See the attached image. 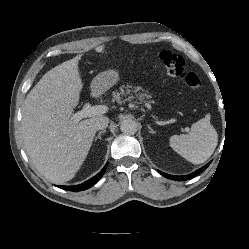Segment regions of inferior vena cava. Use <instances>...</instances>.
Here are the masks:
<instances>
[{"instance_id":"602c4592","label":"inferior vena cava","mask_w":249,"mask_h":249,"mask_svg":"<svg viewBox=\"0 0 249 249\" xmlns=\"http://www.w3.org/2000/svg\"><path fill=\"white\" fill-rule=\"evenodd\" d=\"M108 123H109V118L99 117L94 121L93 127L95 130H102V129L107 128Z\"/></svg>"}]
</instances>
